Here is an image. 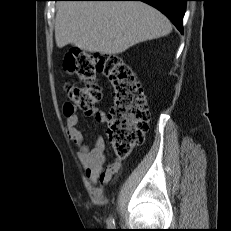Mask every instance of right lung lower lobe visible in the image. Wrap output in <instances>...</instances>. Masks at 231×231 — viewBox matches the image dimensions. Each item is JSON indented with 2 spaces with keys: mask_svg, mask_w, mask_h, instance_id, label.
<instances>
[{
  "mask_svg": "<svg viewBox=\"0 0 231 231\" xmlns=\"http://www.w3.org/2000/svg\"><path fill=\"white\" fill-rule=\"evenodd\" d=\"M86 1H143L166 15L176 28L182 32V22L187 0H86Z\"/></svg>",
  "mask_w": 231,
  "mask_h": 231,
  "instance_id": "1",
  "label": "right lung lower lobe"
}]
</instances>
